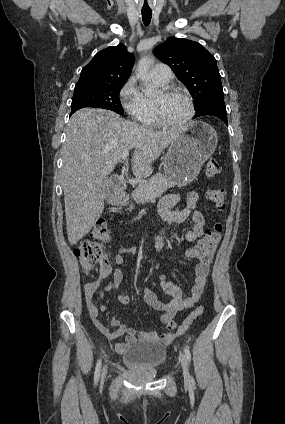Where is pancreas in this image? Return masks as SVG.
Listing matches in <instances>:
<instances>
[{"mask_svg": "<svg viewBox=\"0 0 285 424\" xmlns=\"http://www.w3.org/2000/svg\"><path fill=\"white\" fill-rule=\"evenodd\" d=\"M174 186V183L169 181L165 175L158 173L153 175L149 180L140 183L132 192V198L137 204L160 197L167 189ZM133 206H130V210Z\"/></svg>", "mask_w": 285, "mask_h": 424, "instance_id": "cf45deb5", "label": "pancreas"}]
</instances>
